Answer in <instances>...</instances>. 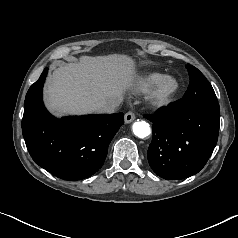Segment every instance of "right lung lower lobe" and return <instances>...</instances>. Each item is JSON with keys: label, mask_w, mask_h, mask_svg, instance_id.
Returning a JSON list of instances; mask_svg holds the SVG:
<instances>
[{"label": "right lung lower lobe", "mask_w": 238, "mask_h": 238, "mask_svg": "<svg viewBox=\"0 0 238 238\" xmlns=\"http://www.w3.org/2000/svg\"><path fill=\"white\" fill-rule=\"evenodd\" d=\"M47 71L45 68L25 97L22 132L27 149L36 164L58 178H87L103 165L108 145L123 125L124 115L54 118L42 101Z\"/></svg>", "instance_id": "right-lung-lower-lobe-1"}]
</instances>
